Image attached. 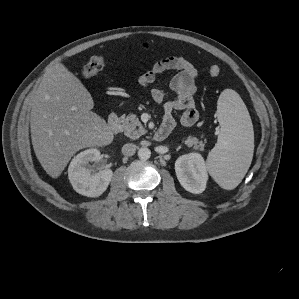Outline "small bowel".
I'll use <instances>...</instances> for the list:
<instances>
[{"mask_svg":"<svg viewBox=\"0 0 299 299\" xmlns=\"http://www.w3.org/2000/svg\"><path fill=\"white\" fill-rule=\"evenodd\" d=\"M166 71L176 72L170 82L175 98H168L166 92L158 88L151 91L152 99L164 108L165 116L162 126L172 132L176 125L173 113L178 110L182 111L181 123L186 127H192L198 121L195 96L199 73L186 58L177 55L166 57L141 74L138 82L142 87H147L156 80L159 74Z\"/></svg>","mask_w":299,"mask_h":299,"instance_id":"small-bowel-1","label":"small bowel"}]
</instances>
